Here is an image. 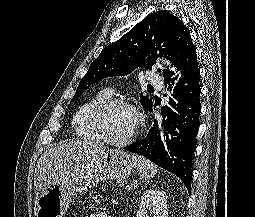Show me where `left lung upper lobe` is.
I'll return each mask as SVG.
<instances>
[{
    "label": "left lung upper lobe",
    "instance_id": "5c2ea615",
    "mask_svg": "<svg viewBox=\"0 0 255 217\" xmlns=\"http://www.w3.org/2000/svg\"><path fill=\"white\" fill-rule=\"evenodd\" d=\"M191 45L190 33L179 18L167 11L152 13L101 51L81 79L71 102L99 80L127 75L138 67L151 69L156 57L164 56L176 65L181 54ZM157 71L161 72V69ZM166 71L168 69L162 74ZM140 102L148 110L152 108L148 96H141Z\"/></svg>",
    "mask_w": 255,
    "mask_h": 217
}]
</instances>
